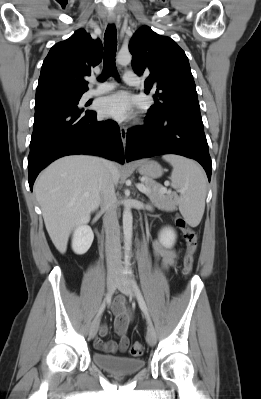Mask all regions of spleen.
Segmentation results:
<instances>
[{
    "label": "spleen",
    "mask_w": 261,
    "mask_h": 399,
    "mask_svg": "<svg viewBox=\"0 0 261 399\" xmlns=\"http://www.w3.org/2000/svg\"><path fill=\"white\" fill-rule=\"evenodd\" d=\"M173 171L171 181L179 189V210L187 223L197 226L204 214L207 179L203 169L193 160L179 155H164Z\"/></svg>",
    "instance_id": "3e777b00"
}]
</instances>
